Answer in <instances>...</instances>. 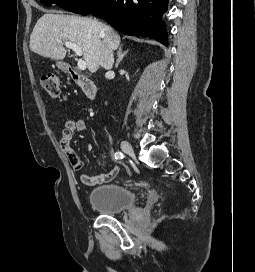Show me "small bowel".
Masks as SVG:
<instances>
[{
    "mask_svg": "<svg viewBox=\"0 0 255 272\" xmlns=\"http://www.w3.org/2000/svg\"><path fill=\"white\" fill-rule=\"evenodd\" d=\"M86 120L84 118H79L77 120L73 119H66L64 121V129L61 132L60 135V148L63 151V153L66 155L67 159L69 160L71 166L75 170H79L83 166L82 160L79 158V156L75 153V151L70 146V141L72 138L85 130L86 128ZM119 172V167L114 166L112 167L107 173L100 174V175H88V174H82L80 179L81 182L88 186H96L108 183L115 179Z\"/></svg>",
    "mask_w": 255,
    "mask_h": 272,
    "instance_id": "c3829d8e",
    "label": "small bowel"
}]
</instances>
